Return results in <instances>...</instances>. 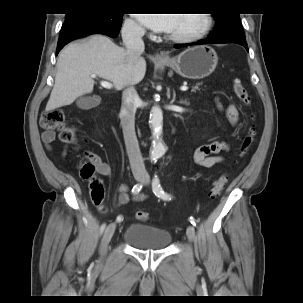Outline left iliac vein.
<instances>
[{"instance_id": "4c4485c4", "label": "left iliac vein", "mask_w": 303, "mask_h": 303, "mask_svg": "<svg viewBox=\"0 0 303 303\" xmlns=\"http://www.w3.org/2000/svg\"><path fill=\"white\" fill-rule=\"evenodd\" d=\"M149 181H150V178H149V175L148 174H145L142 178V183L145 184V185H148L149 184ZM187 237L190 241H194L195 239V227L193 225H189L187 227Z\"/></svg>"}]
</instances>
